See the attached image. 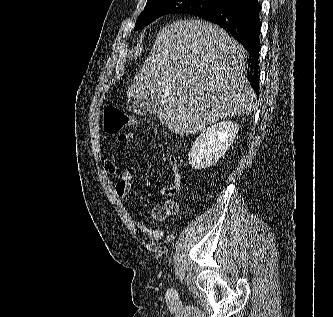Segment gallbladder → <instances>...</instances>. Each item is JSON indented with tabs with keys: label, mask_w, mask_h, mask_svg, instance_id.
I'll use <instances>...</instances> for the list:
<instances>
[{
	"label": "gallbladder",
	"mask_w": 333,
	"mask_h": 317,
	"mask_svg": "<svg viewBox=\"0 0 333 317\" xmlns=\"http://www.w3.org/2000/svg\"><path fill=\"white\" fill-rule=\"evenodd\" d=\"M126 104L127 109L136 115H154L159 101L152 97H141L129 99Z\"/></svg>",
	"instance_id": "bac80fb5"
}]
</instances>
